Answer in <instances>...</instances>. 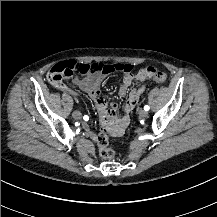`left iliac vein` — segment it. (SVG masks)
<instances>
[{"mask_svg":"<svg viewBox=\"0 0 217 217\" xmlns=\"http://www.w3.org/2000/svg\"><path fill=\"white\" fill-rule=\"evenodd\" d=\"M139 116H140L141 118H146V117L148 116V112L145 111V110H140V111H139Z\"/></svg>","mask_w":217,"mask_h":217,"instance_id":"obj_1","label":"left iliac vein"}]
</instances>
